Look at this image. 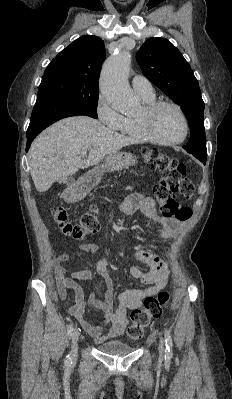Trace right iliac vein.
<instances>
[{
	"label": "right iliac vein",
	"mask_w": 232,
	"mask_h": 399,
	"mask_svg": "<svg viewBox=\"0 0 232 399\" xmlns=\"http://www.w3.org/2000/svg\"><path fill=\"white\" fill-rule=\"evenodd\" d=\"M79 336H80L79 332H74L73 333V335H72V347L73 348L77 347V345H78L77 341H79Z\"/></svg>",
	"instance_id": "obj_1"
}]
</instances>
